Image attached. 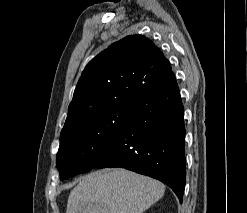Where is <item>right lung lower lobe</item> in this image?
<instances>
[{
    "label": "right lung lower lobe",
    "mask_w": 247,
    "mask_h": 213,
    "mask_svg": "<svg viewBox=\"0 0 247 213\" xmlns=\"http://www.w3.org/2000/svg\"><path fill=\"white\" fill-rule=\"evenodd\" d=\"M131 113L95 167H121L167 184L182 202L185 183L183 105L175 76L129 99Z\"/></svg>",
    "instance_id": "98d812e1"
}]
</instances>
